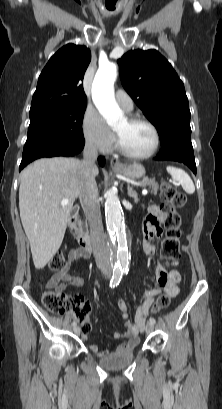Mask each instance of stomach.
Returning a JSON list of instances; mask_svg holds the SVG:
<instances>
[{
    "label": "stomach",
    "instance_id": "stomach-1",
    "mask_svg": "<svg viewBox=\"0 0 222 409\" xmlns=\"http://www.w3.org/2000/svg\"><path fill=\"white\" fill-rule=\"evenodd\" d=\"M115 170L131 179H139L144 177L145 175L144 167L138 163L122 165L120 167L115 168Z\"/></svg>",
    "mask_w": 222,
    "mask_h": 409
}]
</instances>
